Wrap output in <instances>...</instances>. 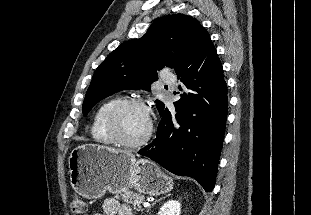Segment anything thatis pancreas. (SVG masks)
Wrapping results in <instances>:
<instances>
[{
	"label": "pancreas",
	"mask_w": 311,
	"mask_h": 215,
	"mask_svg": "<svg viewBox=\"0 0 311 215\" xmlns=\"http://www.w3.org/2000/svg\"><path fill=\"white\" fill-rule=\"evenodd\" d=\"M120 197L123 202L132 204L134 209L143 211V208L141 206V203L144 200L143 195L139 193H135L133 191H126L124 194L116 196V198H120Z\"/></svg>",
	"instance_id": "1"
}]
</instances>
